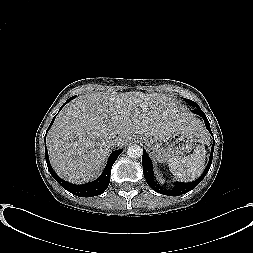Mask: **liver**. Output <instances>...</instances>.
Listing matches in <instances>:
<instances>
[{
	"instance_id": "obj_1",
	"label": "liver",
	"mask_w": 253,
	"mask_h": 253,
	"mask_svg": "<svg viewBox=\"0 0 253 253\" xmlns=\"http://www.w3.org/2000/svg\"><path fill=\"white\" fill-rule=\"evenodd\" d=\"M179 131L199 141L206 135L202 121L165 94L95 92L78 96L62 109L48 132L47 147L55 172L82 184L101 173L114 148L113 136H120L124 146L135 134Z\"/></svg>"
}]
</instances>
